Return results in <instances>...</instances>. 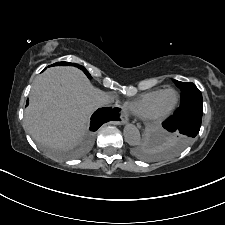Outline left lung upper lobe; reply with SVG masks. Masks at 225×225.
Returning <instances> with one entry per match:
<instances>
[{"mask_svg": "<svg viewBox=\"0 0 225 225\" xmlns=\"http://www.w3.org/2000/svg\"><path fill=\"white\" fill-rule=\"evenodd\" d=\"M176 85L181 89V104L177 110H182L184 108L194 106V105H203L202 94L200 90L193 83H186L174 80ZM176 135L175 142L176 148L180 149L185 145L189 144L193 139L185 137L181 134L174 133Z\"/></svg>", "mask_w": 225, "mask_h": 225, "instance_id": "left-lung-upper-lobe-1", "label": "left lung upper lobe"}]
</instances>
